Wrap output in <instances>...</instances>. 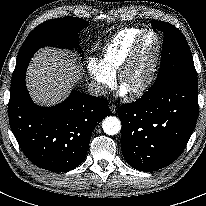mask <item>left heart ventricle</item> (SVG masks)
<instances>
[{
    "mask_svg": "<svg viewBox=\"0 0 206 206\" xmlns=\"http://www.w3.org/2000/svg\"><path fill=\"white\" fill-rule=\"evenodd\" d=\"M156 51V39L149 35L142 44L139 56L125 77L124 85L127 90L133 88L146 77Z\"/></svg>",
    "mask_w": 206,
    "mask_h": 206,
    "instance_id": "1",
    "label": "left heart ventricle"
}]
</instances>
